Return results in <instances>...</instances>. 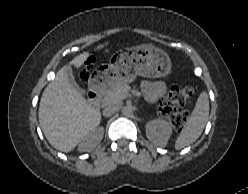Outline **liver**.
Returning <instances> with one entry per match:
<instances>
[{
	"label": "liver",
	"instance_id": "obj_1",
	"mask_svg": "<svg viewBox=\"0 0 248 194\" xmlns=\"http://www.w3.org/2000/svg\"><path fill=\"white\" fill-rule=\"evenodd\" d=\"M104 45L97 46L100 50ZM91 54L84 52L71 62L80 68ZM63 66L45 88L38 111L39 123L48 142L62 152L72 151L101 121V113L86 102L67 80Z\"/></svg>",
	"mask_w": 248,
	"mask_h": 194
}]
</instances>
